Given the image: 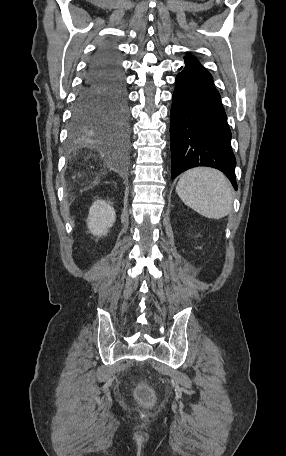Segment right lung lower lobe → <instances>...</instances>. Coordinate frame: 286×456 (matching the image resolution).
Here are the masks:
<instances>
[{
    "label": "right lung lower lobe",
    "instance_id": "1",
    "mask_svg": "<svg viewBox=\"0 0 286 456\" xmlns=\"http://www.w3.org/2000/svg\"><path fill=\"white\" fill-rule=\"evenodd\" d=\"M111 127L124 124L129 129L127 90L117 57L108 48L100 49L89 62L84 83L78 92L71 129L80 132L91 125Z\"/></svg>",
    "mask_w": 286,
    "mask_h": 456
}]
</instances>
